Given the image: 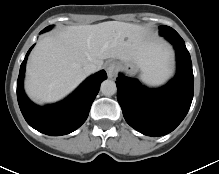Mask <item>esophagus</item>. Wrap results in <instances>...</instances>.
I'll list each match as a JSON object with an SVG mask.
<instances>
[{
    "label": "esophagus",
    "mask_w": 219,
    "mask_h": 174,
    "mask_svg": "<svg viewBox=\"0 0 219 174\" xmlns=\"http://www.w3.org/2000/svg\"><path fill=\"white\" fill-rule=\"evenodd\" d=\"M118 70H119V65L117 63L108 62L106 64V71L110 79H115Z\"/></svg>",
    "instance_id": "1"
}]
</instances>
